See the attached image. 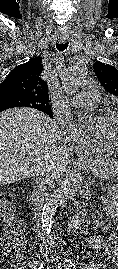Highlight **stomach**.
<instances>
[{
	"instance_id": "1",
	"label": "stomach",
	"mask_w": 118,
	"mask_h": 269,
	"mask_svg": "<svg viewBox=\"0 0 118 269\" xmlns=\"http://www.w3.org/2000/svg\"><path fill=\"white\" fill-rule=\"evenodd\" d=\"M82 168L100 179L118 175V162L113 158H101L92 164H82Z\"/></svg>"
}]
</instances>
